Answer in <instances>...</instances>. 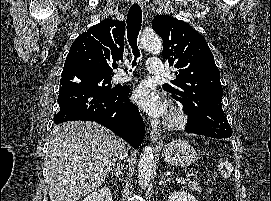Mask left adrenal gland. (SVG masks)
<instances>
[{
    "label": "left adrenal gland",
    "mask_w": 271,
    "mask_h": 201,
    "mask_svg": "<svg viewBox=\"0 0 271 201\" xmlns=\"http://www.w3.org/2000/svg\"><path fill=\"white\" fill-rule=\"evenodd\" d=\"M160 178H161L159 182L160 185L166 184L169 181V179L165 180L163 173L160 174Z\"/></svg>",
    "instance_id": "left-adrenal-gland-1"
}]
</instances>
